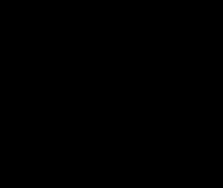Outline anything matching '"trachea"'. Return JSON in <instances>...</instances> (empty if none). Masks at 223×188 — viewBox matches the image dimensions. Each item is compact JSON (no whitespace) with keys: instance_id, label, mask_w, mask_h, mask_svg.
<instances>
[{"instance_id":"3493384b","label":"trachea","mask_w":223,"mask_h":188,"mask_svg":"<svg viewBox=\"0 0 223 188\" xmlns=\"http://www.w3.org/2000/svg\"><path fill=\"white\" fill-rule=\"evenodd\" d=\"M109 87L113 92H119L123 87V80L119 76H113L109 80Z\"/></svg>"}]
</instances>
